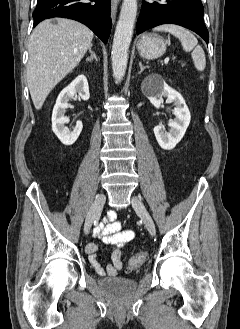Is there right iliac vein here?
Wrapping results in <instances>:
<instances>
[{
  "instance_id": "right-iliac-vein-1",
  "label": "right iliac vein",
  "mask_w": 240,
  "mask_h": 329,
  "mask_svg": "<svg viewBox=\"0 0 240 329\" xmlns=\"http://www.w3.org/2000/svg\"><path fill=\"white\" fill-rule=\"evenodd\" d=\"M106 197L103 193L96 196L94 202L92 203L84 223V233L87 235L94 223L101 214L103 206L105 204Z\"/></svg>"
}]
</instances>
